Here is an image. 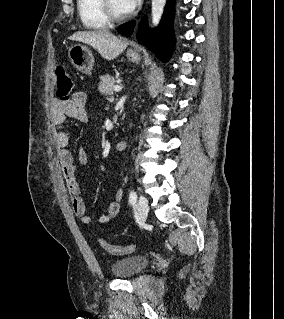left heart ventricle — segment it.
I'll list each match as a JSON object with an SVG mask.
<instances>
[{
  "instance_id": "left-heart-ventricle-1",
  "label": "left heart ventricle",
  "mask_w": 284,
  "mask_h": 319,
  "mask_svg": "<svg viewBox=\"0 0 284 319\" xmlns=\"http://www.w3.org/2000/svg\"><path fill=\"white\" fill-rule=\"evenodd\" d=\"M113 10L120 15L128 13L121 0H110Z\"/></svg>"
}]
</instances>
